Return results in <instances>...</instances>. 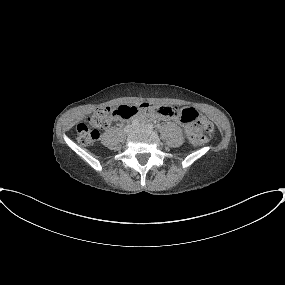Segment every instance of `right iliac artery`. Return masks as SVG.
I'll return each instance as SVG.
<instances>
[{"mask_svg": "<svg viewBox=\"0 0 285 285\" xmlns=\"http://www.w3.org/2000/svg\"><path fill=\"white\" fill-rule=\"evenodd\" d=\"M132 125H138V121H133Z\"/></svg>", "mask_w": 285, "mask_h": 285, "instance_id": "82829eb1", "label": "right iliac artery"}]
</instances>
